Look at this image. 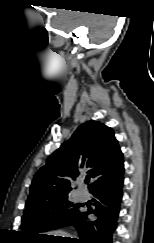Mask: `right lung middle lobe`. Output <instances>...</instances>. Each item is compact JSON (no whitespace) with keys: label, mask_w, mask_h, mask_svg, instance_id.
Instances as JSON below:
<instances>
[{"label":"right lung middle lobe","mask_w":154,"mask_h":243,"mask_svg":"<svg viewBox=\"0 0 154 243\" xmlns=\"http://www.w3.org/2000/svg\"><path fill=\"white\" fill-rule=\"evenodd\" d=\"M79 207L65 196L26 208L21 224L24 239L37 238L41 232L59 228L79 211Z\"/></svg>","instance_id":"dd1d6c3e"}]
</instances>
